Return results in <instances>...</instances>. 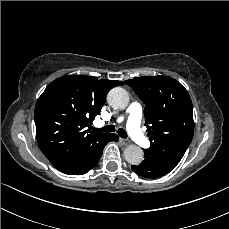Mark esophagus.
Returning a JSON list of instances; mask_svg holds the SVG:
<instances>
[{"label": "esophagus", "mask_w": 229, "mask_h": 229, "mask_svg": "<svg viewBox=\"0 0 229 229\" xmlns=\"http://www.w3.org/2000/svg\"><path fill=\"white\" fill-rule=\"evenodd\" d=\"M120 142L123 144V145H128L130 143L129 140H126V139H123V138H120Z\"/></svg>", "instance_id": "obj_1"}]
</instances>
